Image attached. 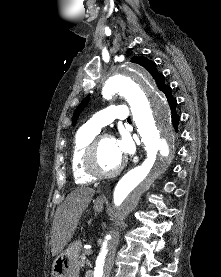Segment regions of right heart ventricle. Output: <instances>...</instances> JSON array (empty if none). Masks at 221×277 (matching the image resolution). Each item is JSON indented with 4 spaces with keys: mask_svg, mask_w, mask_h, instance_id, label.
<instances>
[{
    "mask_svg": "<svg viewBox=\"0 0 221 277\" xmlns=\"http://www.w3.org/2000/svg\"><path fill=\"white\" fill-rule=\"evenodd\" d=\"M97 133V131L83 126L74 137L71 152V169L73 178L78 184H88L93 180L84 172L83 159L88 146L96 137Z\"/></svg>",
    "mask_w": 221,
    "mask_h": 277,
    "instance_id": "right-heart-ventricle-1",
    "label": "right heart ventricle"
}]
</instances>
